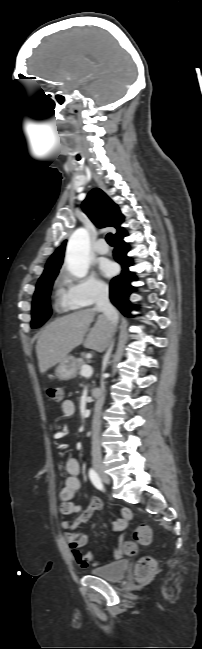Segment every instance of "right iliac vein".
Instances as JSON below:
<instances>
[{
	"mask_svg": "<svg viewBox=\"0 0 202 649\" xmlns=\"http://www.w3.org/2000/svg\"><path fill=\"white\" fill-rule=\"evenodd\" d=\"M93 465H94V468H95L96 472H97L98 475L101 477V479H102L105 483L110 484V478H109V476L105 473V468H104V466L102 465V463L99 462V461H94Z\"/></svg>",
	"mask_w": 202,
	"mask_h": 649,
	"instance_id": "1",
	"label": "right iliac vein"
}]
</instances>
